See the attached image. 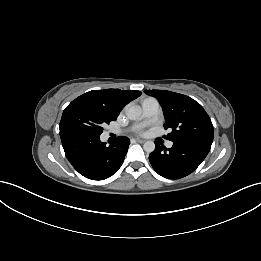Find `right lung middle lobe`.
Listing matches in <instances>:
<instances>
[{
    "label": "right lung middle lobe",
    "instance_id": "dd1d6c3e",
    "mask_svg": "<svg viewBox=\"0 0 261 261\" xmlns=\"http://www.w3.org/2000/svg\"><path fill=\"white\" fill-rule=\"evenodd\" d=\"M115 120L97 103L76 98L63 112L60 132L79 131L101 135L103 126Z\"/></svg>",
    "mask_w": 261,
    "mask_h": 261
}]
</instances>
